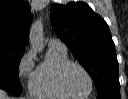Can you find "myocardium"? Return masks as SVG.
Masks as SVG:
<instances>
[{
  "instance_id": "obj_1",
  "label": "myocardium",
  "mask_w": 128,
  "mask_h": 99,
  "mask_svg": "<svg viewBox=\"0 0 128 99\" xmlns=\"http://www.w3.org/2000/svg\"><path fill=\"white\" fill-rule=\"evenodd\" d=\"M71 66L79 67L85 73V75L87 76V79H88V82H89V89H88V91L84 95H74V94H71L67 90L65 85H64V75H65V72ZM57 83H58L59 89L65 95H67L68 97L73 98V99H84V98H87V97H89L92 94V91H93V79H92L91 74L89 73V71L86 69L85 66H83L81 63L76 62V61H70L69 60L68 62H66L65 64H63L59 68L58 73H57Z\"/></svg>"
}]
</instances>
